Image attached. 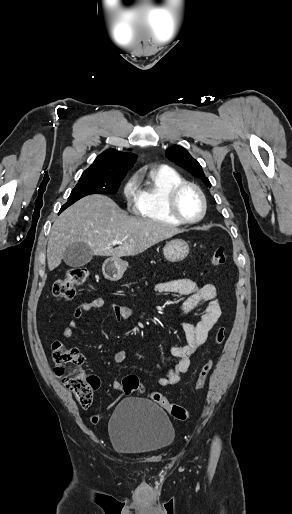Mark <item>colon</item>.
<instances>
[{"instance_id": "colon-1", "label": "colon", "mask_w": 292, "mask_h": 514, "mask_svg": "<svg viewBox=\"0 0 292 514\" xmlns=\"http://www.w3.org/2000/svg\"><path fill=\"white\" fill-rule=\"evenodd\" d=\"M226 262V250L223 246H217L211 255L210 263L213 267H220ZM91 276L87 267H73L58 278L53 284V294L59 301H69L75 295L76 290L83 286ZM227 327L218 326L214 332L213 344L218 346L225 340ZM54 362V374L62 379L65 387L73 394L76 402L83 408L90 407L93 403V393L100 386V379L96 375L89 374L81 369L85 361L84 354L76 349L66 346L59 340L51 345ZM212 370V360L206 358L199 371L195 384L196 390H202ZM122 388L127 395L140 389V380L134 375H127L122 380ZM149 398L156 402L164 411L176 419H186L189 415L187 409L169 401L162 393L153 391ZM96 416H91L95 421Z\"/></svg>"}]
</instances>
